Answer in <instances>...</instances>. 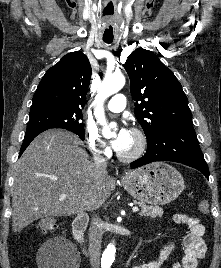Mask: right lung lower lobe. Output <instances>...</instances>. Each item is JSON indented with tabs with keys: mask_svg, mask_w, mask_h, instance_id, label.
<instances>
[{
	"mask_svg": "<svg viewBox=\"0 0 221 268\" xmlns=\"http://www.w3.org/2000/svg\"><path fill=\"white\" fill-rule=\"evenodd\" d=\"M47 129H35V130H29V131H26L25 133V138H24V141H23V144L21 146V149H20V155H22V153L24 152V150L27 148V146L31 143V141L38 135L40 134L41 132L45 131ZM77 134V133H75ZM78 135V134H77ZM79 137L84 140V137L80 136Z\"/></svg>",
	"mask_w": 221,
	"mask_h": 268,
	"instance_id": "98d812e1",
	"label": "right lung lower lobe"
}]
</instances>
